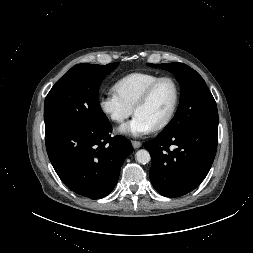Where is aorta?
Instances as JSON below:
<instances>
[{"instance_id": "aorta-1", "label": "aorta", "mask_w": 253, "mask_h": 253, "mask_svg": "<svg viewBox=\"0 0 253 253\" xmlns=\"http://www.w3.org/2000/svg\"><path fill=\"white\" fill-rule=\"evenodd\" d=\"M136 160L140 164H147L151 160L150 153L146 149H141L136 153Z\"/></svg>"}]
</instances>
